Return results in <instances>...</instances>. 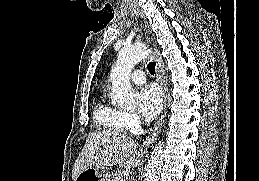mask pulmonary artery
<instances>
[{
    "instance_id": "pulmonary-artery-1",
    "label": "pulmonary artery",
    "mask_w": 259,
    "mask_h": 181,
    "mask_svg": "<svg viewBox=\"0 0 259 181\" xmlns=\"http://www.w3.org/2000/svg\"><path fill=\"white\" fill-rule=\"evenodd\" d=\"M131 81H132V83L137 84V85L144 84L146 81L144 73L142 71H136L131 76Z\"/></svg>"
}]
</instances>
